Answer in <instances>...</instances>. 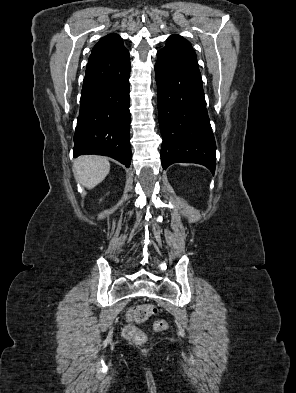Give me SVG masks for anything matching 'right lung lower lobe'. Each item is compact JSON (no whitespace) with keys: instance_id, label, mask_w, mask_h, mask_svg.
<instances>
[{"instance_id":"98d812e1","label":"right lung lower lobe","mask_w":296,"mask_h":393,"mask_svg":"<svg viewBox=\"0 0 296 393\" xmlns=\"http://www.w3.org/2000/svg\"><path fill=\"white\" fill-rule=\"evenodd\" d=\"M129 77L130 57L126 48L90 55L74 134L73 157L104 155L129 167Z\"/></svg>"}]
</instances>
